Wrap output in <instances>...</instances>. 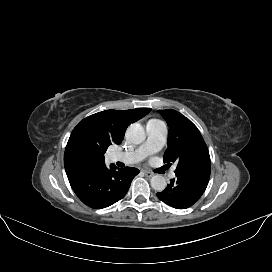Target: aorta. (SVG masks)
I'll return each mask as SVG.
<instances>
[{"instance_id":"aorta-1","label":"aorta","mask_w":272,"mask_h":272,"mask_svg":"<svg viewBox=\"0 0 272 272\" xmlns=\"http://www.w3.org/2000/svg\"><path fill=\"white\" fill-rule=\"evenodd\" d=\"M126 137L131 143L140 144L146 139L145 130L140 124L133 123L127 128ZM150 183L156 191H163L167 185L166 179L162 175H154Z\"/></svg>"}]
</instances>
